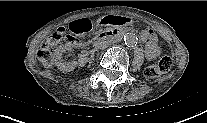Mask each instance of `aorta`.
<instances>
[{
    "label": "aorta",
    "mask_w": 207,
    "mask_h": 123,
    "mask_svg": "<svg viewBox=\"0 0 207 123\" xmlns=\"http://www.w3.org/2000/svg\"><path fill=\"white\" fill-rule=\"evenodd\" d=\"M124 41L127 46H134L137 43V36L134 33H126Z\"/></svg>",
    "instance_id": "1"
}]
</instances>
